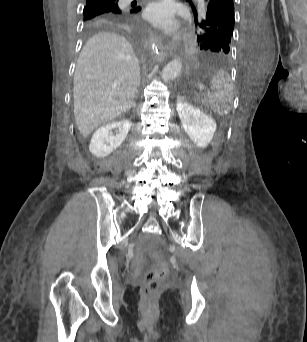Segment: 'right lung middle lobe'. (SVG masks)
Returning <instances> with one entry per match:
<instances>
[{
  "label": "right lung middle lobe",
  "instance_id": "1",
  "mask_svg": "<svg viewBox=\"0 0 307 342\" xmlns=\"http://www.w3.org/2000/svg\"><path fill=\"white\" fill-rule=\"evenodd\" d=\"M101 12L102 11H97V10H83V20L94 17Z\"/></svg>",
  "mask_w": 307,
  "mask_h": 342
}]
</instances>
